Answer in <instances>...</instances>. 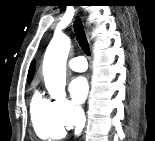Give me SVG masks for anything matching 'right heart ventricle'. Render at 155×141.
I'll return each mask as SVG.
<instances>
[{"label": "right heart ventricle", "instance_id": "obj_1", "mask_svg": "<svg viewBox=\"0 0 155 141\" xmlns=\"http://www.w3.org/2000/svg\"><path fill=\"white\" fill-rule=\"evenodd\" d=\"M30 114L33 128L38 137L52 139L64 136L65 127L56 117L54 101L45 98L38 91L32 94Z\"/></svg>", "mask_w": 155, "mask_h": 141}]
</instances>
